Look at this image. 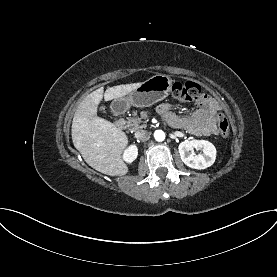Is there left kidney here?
<instances>
[{
  "mask_svg": "<svg viewBox=\"0 0 277 277\" xmlns=\"http://www.w3.org/2000/svg\"><path fill=\"white\" fill-rule=\"evenodd\" d=\"M194 148L200 149L202 153L195 155ZM178 149L181 160L193 169H206L213 165L216 159L215 146L206 140L184 141L179 144Z\"/></svg>",
  "mask_w": 277,
  "mask_h": 277,
  "instance_id": "obj_1",
  "label": "left kidney"
}]
</instances>
